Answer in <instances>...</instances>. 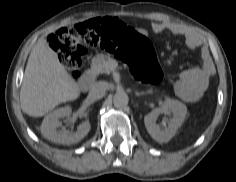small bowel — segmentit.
<instances>
[{
    "label": "small bowel",
    "instance_id": "c3829d8e",
    "mask_svg": "<svg viewBox=\"0 0 236 182\" xmlns=\"http://www.w3.org/2000/svg\"><path fill=\"white\" fill-rule=\"evenodd\" d=\"M151 28L156 34L169 31L174 35L184 37L185 43L190 49L201 48V66L182 71L175 84V91L181 99L186 102L199 100L208 88L215 71L212 59L208 50L203 46L201 38L196 33L175 23L154 22Z\"/></svg>",
    "mask_w": 236,
    "mask_h": 182
}]
</instances>
